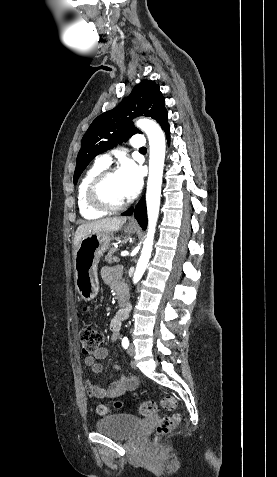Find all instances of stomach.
<instances>
[{
  "label": "stomach",
  "mask_w": 277,
  "mask_h": 477,
  "mask_svg": "<svg viewBox=\"0 0 277 477\" xmlns=\"http://www.w3.org/2000/svg\"><path fill=\"white\" fill-rule=\"evenodd\" d=\"M138 227L128 224L124 231L137 232ZM112 235L98 232L84 237L74 251L75 289L84 301L93 300L99 290L97 264L103 253L109 248Z\"/></svg>",
  "instance_id": "obj_1"
}]
</instances>
